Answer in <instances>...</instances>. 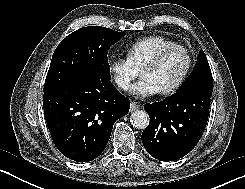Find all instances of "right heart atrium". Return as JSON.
<instances>
[{"label": "right heart atrium", "instance_id": "1", "mask_svg": "<svg viewBox=\"0 0 245 189\" xmlns=\"http://www.w3.org/2000/svg\"><path fill=\"white\" fill-rule=\"evenodd\" d=\"M108 72L114 85L123 91L129 90L131 83L138 76L136 70L127 58H111L108 61Z\"/></svg>", "mask_w": 245, "mask_h": 189}]
</instances>
